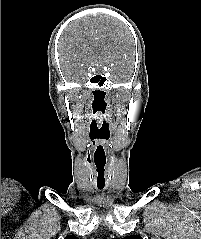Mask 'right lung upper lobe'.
Wrapping results in <instances>:
<instances>
[{"mask_svg": "<svg viewBox=\"0 0 201 239\" xmlns=\"http://www.w3.org/2000/svg\"><path fill=\"white\" fill-rule=\"evenodd\" d=\"M65 239H77L75 235H67Z\"/></svg>", "mask_w": 201, "mask_h": 239, "instance_id": "1", "label": "right lung upper lobe"}]
</instances>
